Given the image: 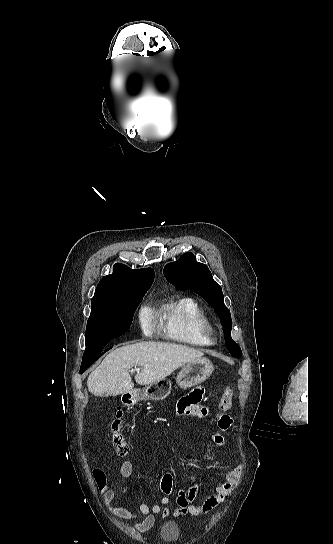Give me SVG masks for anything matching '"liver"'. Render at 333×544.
I'll return each instance as SVG.
<instances>
[{"label": "liver", "mask_w": 333, "mask_h": 544, "mask_svg": "<svg viewBox=\"0 0 333 544\" xmlns=\"http://www.w3.org/2000/svg\"><path fill=\"white\" fill-rule=\"evenodd\" d=\"M203 352L175 343L143 341L111 351L87 380L95 396H117L133 390L130 377L133 366H141L135 375L139 385H148L169 376L177 368L200 359Z\"/></svg>", "instance_id": "1"}]
</instances>
